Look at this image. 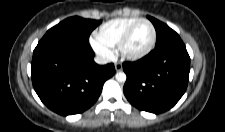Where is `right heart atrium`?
Here are the masks:
<instances>
[{"instance_id":"obj_1","label":"right heart atrium","mask_w":225,"mask_h":132,"mask_svg":"<svg viewBox=\"0 0 225 132\" xmlns=\"http://www.w3.org/2000/svg\"><path fill=\"white\" fill-rule=\"evenodd\" d=\"M92 45H93L94 49L96 50V52L98 54H100L101 56L110 57L112 55L111 49L108 46L99 42L98 40L94 39L92 41Z\"/></svg>"}]
</instances>
